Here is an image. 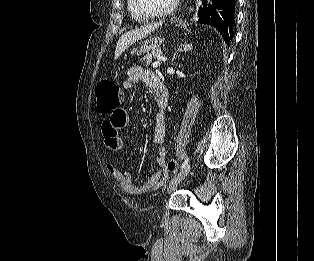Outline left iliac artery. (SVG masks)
<instances>
[{"mask_svg":"<svg viewBox=\"0 0 314 261\" xmlns=\"http://www.w3.org/2000/svg\"><path fill=\"white\" fill-rule=\"evenodd\" d=\"M189 162V158L187 157L184 162L182 163L181 169H183Z\"/></svg>","mask_w":314,"mask_h":261,"instance_id":"1","label":"left iliac artery"}]
</instances>
